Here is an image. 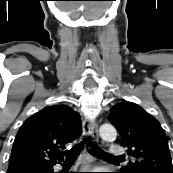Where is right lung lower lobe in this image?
Here are the masks:
<instances>
[{"label": "right lung lower lobe", "instance_id": "98d812e1", "mask_svg": "<svg viewBox=\"0 0 173 173\" xmlns=\"http://www.w3.org/2000/svg\"><path fill=\"white\" fill-rule=\"evenodd\" d=\"M54 165L55 163L48 165H37V166L16 168L7 171V173H54L53 171Z\"/></svg>", "mask_w": 173, "mask_h": 173}]
</instances>
